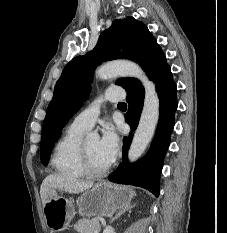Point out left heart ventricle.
Wrapping results in <instances>:
<instances>
[{
    "label": "left heart ventricle",
    "instance_id": "left-heart-ventricle-1",
    "mask_svg": "<svg viewBox=\"0 0 227 233\" xmlns=\"http://www.w3.org/2000/svg\"><path fill=\"white\" fill-rule=\"evenodd\" d=\"M85 146L92 165L98 169L106 167L109 162L101 155L99 151V141L92 140L85 142Z\"/></svg>",
    "mask_w": 227,
    "mask_h": 233
}]
</instances>
